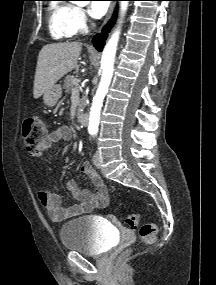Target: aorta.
<instances>
[{
    "mask_svg": "<svg viewBox=\"0 0 216 285\" xmlns=\"http://www.w3.org/2000/svg\"><path fill=\"white\" fill-rule=\"evenodd\" d=\"M128 1L120 2V13L123 17L128 8ZM77 4H85L83 1H77ZM120 35V27L112 34L111 38L108 40L106 46L104 47L101 59V68L103 70L99 87L97 89L96 95L93 98V103L90 110L89 126L88 131L90 134L94 135L98 131L100 111L103 103V99L108 91L110 85L113 71H114V61Z\"/></svg>",
    "mask_w": 216,
    "mask_h": 285,
    "instance_id": "1",
    "label": "aorta"
}]
</instances>
